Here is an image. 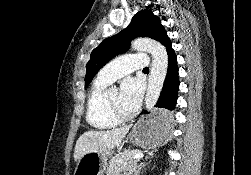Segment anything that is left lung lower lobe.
<instances>
[{
  "mask_svg": "<svg viewBox=\"0 0 251 175\" xmlns=\"http://www.w3.org/2000/svg\"><path fill=\"white\" fill-rule=\"evenodd\" d=\"M159 42L166 47L168 53V70L162 92L156 104V107L160 109L153 113L151 121L154 124H166L174 119V114L171 111L174 110L178 97V66L175 52L167 34Z\"/></svg>",
  "mask_w": 251,
  "mask_h": 175,
  "instance_id": "0a47b994",
  "label": "left lung lower lobe"
}]
</instances>
